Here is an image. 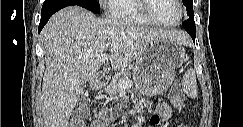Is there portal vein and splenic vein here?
I'll list each match as a JSON object with an SVG mask.
<instances>
[{"label":"portal vein and splenic vein","mask_w":243,"mask_h":127,"mask_svg":"<svg viewBox=\"0 0 243 127\" xmlns=\"http://www.w3.org/2000/svg\"><path fill=\"white\" fill-rule=\"evenodd\" d=\"M108 59V54L107 53H102L99 57L98 60L100 62H105ZM132 82L131 81H126L123 82V88H127L129 86H131Z\"/></svg>","instance_id":"portal-vein-and-splenic-vein-1"}]
</instances>
